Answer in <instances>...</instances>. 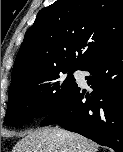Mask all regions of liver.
Listing matches in <instances>:
<instances>
[{
  "label": "liver",
  "mask_w": 123,
  "mask_h": 152,
  "mask_svg": "<svg viewBox=\"0 0 123 152\" xmlns=\"http://www.w3.org/2000/svg\"><path fill=\"white\" fill-rule=\"evenodd\" d=\"M12 152H98V145L77 133L46 127L28 132Z\"/></svg>",
  "instance_id": "6515ba94"
}]
</instances>
